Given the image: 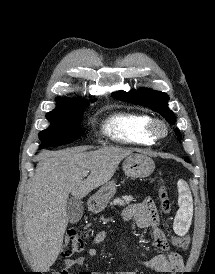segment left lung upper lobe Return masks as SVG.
I'll use <instances>...</instances> for the list:
<instances>
[{
  "mask_svg": "<svg viewBox=\"0 0 215 274\" xmlns=\"http://www.w3.org/2000/svg\"><path fill=\"white\" fill-rule=\"evenodd\" d=\"M112 96L120 100L150 107L152 110L160 113L168 122H174L175 116L167 107L169 96L166 93L140 88L138 90L132 89L129 92L117 91L114 92ZM185 161L189 162L187 159Z\"/></svg>",
  "mask_w": 215,
  "mask_h": 274,
  "instance_id": "1",
  "label": "left lung upper lobe"
}]
</instances>
